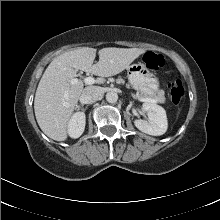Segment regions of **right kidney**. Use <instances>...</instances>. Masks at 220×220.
I'll list each match as a JSON object with an SVG mask.
<instances>
[{"mask_svg":"<svg viewBox=\"0 0 220 220\" xmlns=\"http://www.w3.org/2000/svg\"><path fill=\"white\" fill-rule=\"evenodd\" d=\"M85 113L84 112H76L73 114L68 123V134L71 138L80 137L85 129Z\"/></svg>","mask_w":220,"mask_h":220,"instance_id":"ca27d5eb","label":"right kidney"}]
</instances>
